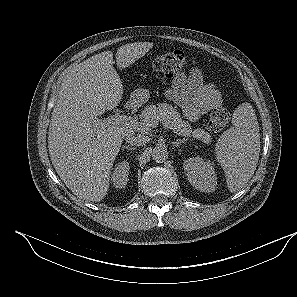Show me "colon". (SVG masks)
I'll return each instance as SVG.
<instances>
[{"mask_svg":"<svg viewBox=\"0 0 297 297\" xmlns=\"http://www.w3.org/2000/svg\"><path fill=\"white\" fill-rule=\"evenodd\" d=\"M194 64V60L182 51L173 50L156 56L151 61L153 70L168 77L179 75ZM230 112L227 107L219 106L211 112L208 120V129L211 132L222 131L229 123Z\"/></svg>","mask_w":297,"mask_h":297,"instance_id":"1","label":"colon"}]
</instances>
